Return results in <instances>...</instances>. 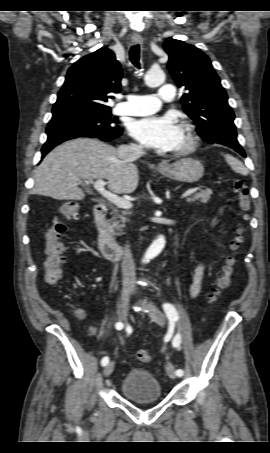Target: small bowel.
<instances>
[{"label": "small bowel", "instance_id": "c3829d8e", "mask_svg": "<svg viewBox=\"0 0 270 453\" xmlns=\"http://www.w3.org/2000/svg\"><path fill=\"white\" fill-rule=\"evenodd\" d=\"M203 272H204V266H203V264H199L197 266L196 270H195L193 283H192L191 288H190L191 297H196L198 295V293L200 292ZM76 313L78 314V316H82V311L81 310H77ZM90 331H91L92 334H94L95 333V328L91 327Z\"/></svg>", "mask_w": 270, "mask_h": 453}]
</instances>
